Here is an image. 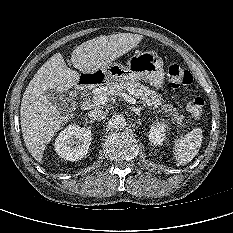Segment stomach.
Returning a JSON list of instances; mask_svg holds the SVG:
<instances>
[{
    "instance_id": "obj_1",
    "label": "stomach",
    "mask_w": 233,
    "mask_h": 233,
    "mask_svg": "<svg viewBox=\"0 0 233 233\" xmlns=\"http://www.w3.org/2000/svg\"><path fill=\"white\" fill-rule=\"evenodd\" d=\"M101 81H137L145 80L152 87L159 89L164 82L163 63L152 52H140L133 55L127 65L109 63L94 73Z\"/></svg>"
}]
</instances>
